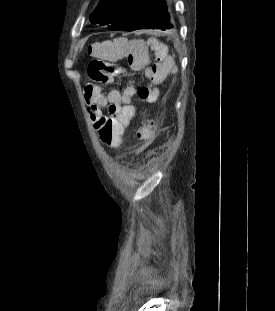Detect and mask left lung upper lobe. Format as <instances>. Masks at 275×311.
<instances>
[{"mask_svg": "<svg viewBox=\"0 0 275 311\" xmlns=\"http://www.w3.org/2000/svg\"><path fill=\"white\" fill-rule=\"evenodd\" d=\"M145 0H102L90 17L92 23L108 25L110 30L124 28Z\"/></svg>", "mask_w": 275, "mask_h": 311, "instance_id": "left-lung-upper-lobe-1", "label": "left lung upper lobe"}]
</instances>
